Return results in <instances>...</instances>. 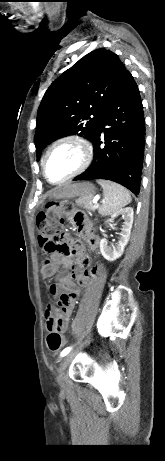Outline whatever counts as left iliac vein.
<instances>
[{"mask_svg": "<svg viewBox=\"0 0 165 461\" xmlns=\"http://www.w3.org/2000/svg\"><path fill=\"white\" fill-rule=\"evenodd\" d=\"M87 342H89V340ZM76 354H77V351L67 354L60 363L57 379H58V383L60 384L62 388H65V380H66L65 370Z\"/></svg>", "mask_w": 165, "mask_h": 461, "instance_id": "left-iliac-vein-1", "label": "left iliac vein"}]
</instances>
